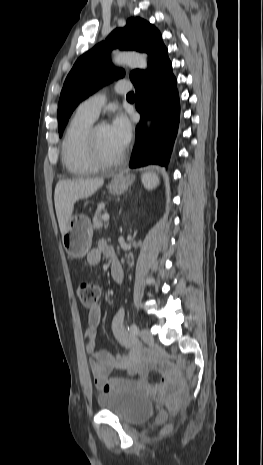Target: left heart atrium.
Segmentation results:
<instances>
[{
	"mask_svg": "<svg viewBox=\"0 0 263 465\" xmlns=\"http://www.w3.org/2000/svg\"><path fill=\"white\" fill-rule=\"evenodd\" d=\"M109 129L114 140L124 150L129 144L132 134L128 118L122 113H117L109 125Z\"/></svg>",
	"mask_w": 263,
	"mask_h": 465,
	"instance_id": "1",
	"label": "left heart atrium"
}]
</instances>
